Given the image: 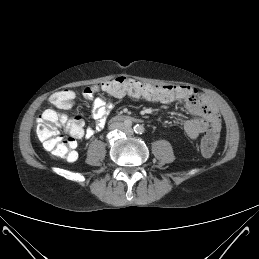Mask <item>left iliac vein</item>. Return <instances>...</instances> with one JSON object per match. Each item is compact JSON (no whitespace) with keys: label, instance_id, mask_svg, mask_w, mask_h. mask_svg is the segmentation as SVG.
<instances>
[{"label":"left iliac vein","instance_id":"left-iliac-vein-1","mask_svg":"<svg viewBox=\"0 0 259 259\" xmlns=\"http://www.w3.org/2000/svg\"><path fill=\"white\" fill-rule=\"evenodd\" d=\"M128 132H130V133H131V132H132V130H131V129H128Z\"/></svg>","mask_w":259,"mask_h":259}]
</instances>
